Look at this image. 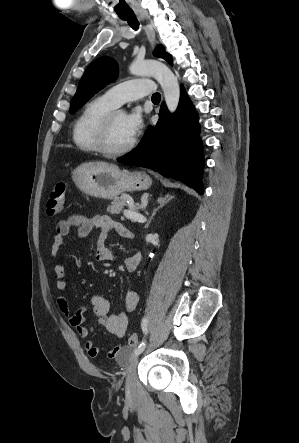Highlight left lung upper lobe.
<instances>
[{
  "instance_id": "5c2ea615",
  "label": "left lung upper lobe",
  "mask_w": 299,
  "mask_h": 443,
  "mask_svg": "<svg viewBox=\"0 0 299 443\" xmlns=\"http://www.w3.org/2000/svg\"><path fill=\"white\" fill-rule=\"evenodd\" d=\"M154 55L164 58L168 63L172 64L171 56L165 52L163 47L158 46L154 51ZM117 76L118 67L113 59L101 57L92 62L79 82L78 89L72 98L69 112L75 113L106 84L115 81Z\"/></svg>"
}]
</instances>
